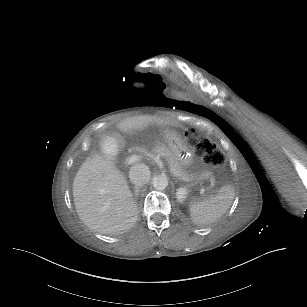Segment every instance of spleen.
I'll use <instances>...</instances> for the list:
<instances>
[{
    "label": "spleen",
    "mask_w": 307,
    "mask_h": 307,
    "mask_svg": "<svg viewBox=\"0 0 307 307\" xmlns=\"http://www.w3.org/2000/svg\"><path fill=\"white\" fill-rule=\"evenodd\" d=\"M234 199V189L229 185L220 188L217 194L196 200L189 207V214L198 225H208L220 219Z\"/></svg>",
    "instance_id": "spleen-1"
}]
</instances>
